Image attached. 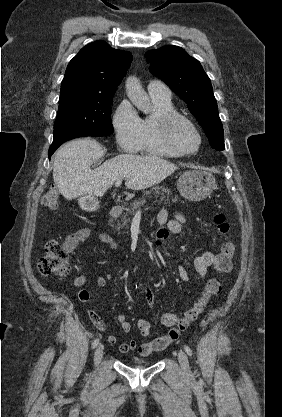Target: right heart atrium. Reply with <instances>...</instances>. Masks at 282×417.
Returning a JSON list of instances; mask_svg holds the SVG:
<instances>
[{
  "mask_svg": "<svg viewBox=\"0 0 282 417\" xmlns=\"http://www.w3.org/2000/svg\"><path fill=\"white\" fill-rule=\"evenodd\" d=\"M119 146L126 152H136L142 148L140 118L131 105L123 101L112 119Z\"/></svg>",
  "mask_w": 282,
  "mask_h": 417,
  "instance_id": "d8ad5b80",
  "label": "right heart atrium"
}]
</instances>
